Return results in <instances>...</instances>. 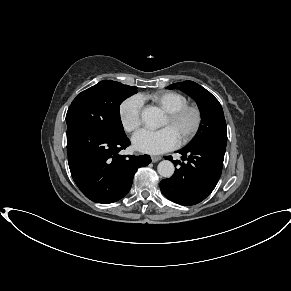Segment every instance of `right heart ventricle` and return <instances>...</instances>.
Returning a JSON list of instances; mask_svg holds the SVG:
<instances>
[{"label":"right heart ventricle","mask_w":291,"mask_h":291,"mask_svg":"<svg viewBox=\"0 0 291 291\" xmlns=\"http://www.w3.org/2000/svg\"><path fill=\"white\" fill-rule=\"evenodd\" d=\"M142 101L150 100L154 105L161 108L164 112L176 110L188 103V99L182 93L162 90L148 94H141Z\"/></svg>","instance_id":"right-heart-ventricle-1"}]
</instances>
